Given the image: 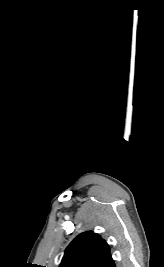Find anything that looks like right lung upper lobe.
<instances>
[{
  "instance_id": "right-lung-upper-lobe-1",
  "label": "right lung upper lobe",
  "mask_w": 164,
  "mask_h": 267,
  "mask_svg": "<svg viewBox=\"0 0 164 267\" xmlns=\"http://www.w3.org/2000/svg\"><path fill=\"white\" fill-rule=\"evenodd\" d=\"M110 259L108 244L98 234L87 231L66 248L59 267H102Z\"/></svg>"
}]
</instances>
